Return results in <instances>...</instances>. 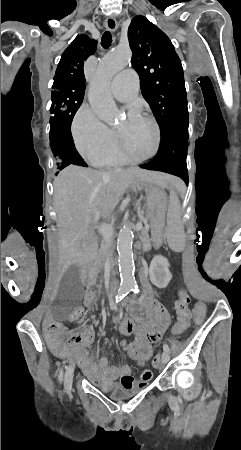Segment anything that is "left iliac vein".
<instances>
[{"instance_id":"4c4485c4","label":"left iliac vein","mask_w":241,"mask_h":450,"mask_svg":"<svg viewBox=\"0 0 241 450\" xmlns=\"http://www.w3.org/2000/svg\"><path fill=\"white\" fill-rule=\"evenodd\" d=\"M169 360H170L169 353L164 351L163 354H162V363H163V365L167 364L169 362Z\"/></svg>"}]
</instances>
